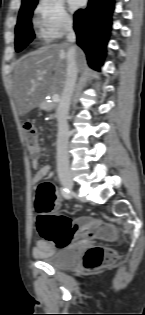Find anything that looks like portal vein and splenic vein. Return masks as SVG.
<instances>
[{
	"label": "portal vein and splenic vein",
	"instance_id": "portal-vein-and-splenic-vein-1",
	"mask_svg": "<svg viewBox=\"0 0 145 315\" xmlns=\"http://www.w3.org/2000/svg\"><path fill=\"white\" fill-rule=\"evenodd\" d=\"M41 79V78H40ZM52 99L54 100V101H58L59 100V95L58 94H54L53 96H52Z\"/></svg>",
	"mask_w": 145,
	"mask_h": 315
}]
</instances>
